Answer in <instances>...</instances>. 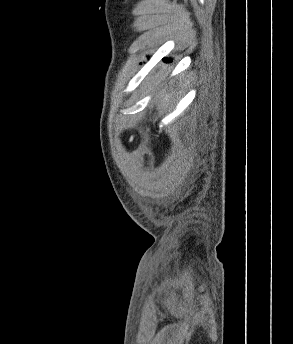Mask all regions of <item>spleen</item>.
Segmentation results:
<instances>
[{
	"mask_svg": "<svg viewBox=\"0 0 293 344\" xmlns=\"http://www.w3.org/2000/svg\"><path fill=\"white\" fill-rule=\"evenodd\" d=\"M163 102H161L160 104H158V107L160 108L162 106Z\"/></svg>",
	"mask_w": 293,
	"mask_h": 344,
	"instance_id": "spleen-1",
	"label": "spleen"
}]
</instances>
